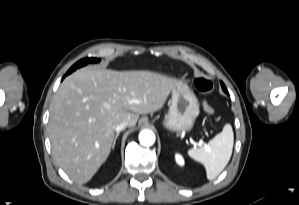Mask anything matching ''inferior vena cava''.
<instances>
[{"instance_id": "1", "label": "inferior vena cava", "mask_w": 299, "mask_h": 205, "mask_svg": "<svg viewBox=\"0 0 299 205\" xmlns=\"http://www.w3.org/2000/svg\"><path fill=\"white\" fill-rule=\"evenodd\" d=\"M128 123L126 121L124 122H121L120 124H118L115 128L116 132H120L122 131L123 129H125L127 127Z\"/></svg>"}]
</instances>
